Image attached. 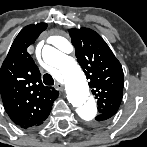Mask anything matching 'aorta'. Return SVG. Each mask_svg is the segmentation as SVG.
I'll use <instances>...</instances> for the list:
<instances>
[{"label": "aorta", "mask_w": 147, "mask_h": 147, "mask_svg": "<svg viewBox=\"0 0 147 147\" xmlns=\"http://www.w3.org/2000/svg\"><path fill=\"white\" fill-rule=\"evenodd\" d=\"M42 57L47 64L59 69L69 102L83 118L91 119L96 105L89 97L86 77L74 58L51 46L43 48Z\"/></svg>", "instance_id": "762f6f07"}]
</instances>
